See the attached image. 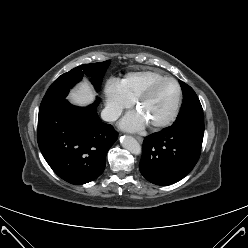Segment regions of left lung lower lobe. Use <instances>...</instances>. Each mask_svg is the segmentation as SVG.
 Segmentation results:
<instances>
[{"label": "left lung lower lobe", "instance_id": "obj_1", "mask_svg": "<svg viewBox=\"0 0 248 248\" xmlns=\"http://www.w3.org/2000/svg\"><path fill=\"white\" fill-rule=\"evenodd\" d=\"M204 135V117L177 120L173 125L147 136L139 164L141 174L157 185L173 184L196 165Z\"/></svg>", "mask_w": 248, "mask_h": 248}]
</instances>
